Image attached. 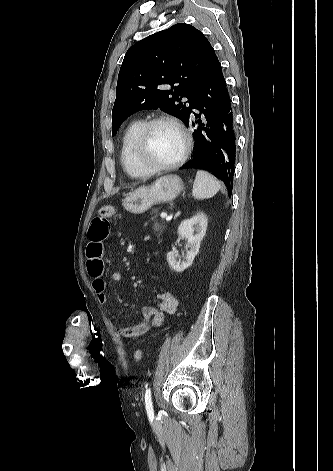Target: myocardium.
<instances>
[{"label": "myocardium", "instance_id": "1", "mask_svg": "<svg viewBox=\"0 0 333 471\" xmlns=\"http://www.w3.org/2000/svg\"><path fill=\"white\" fill-rule=\"evenodd\" d=\"M159 124H169L173 126L182 139V150L180 155L167 164L153 163L148 157L149 136L151 130ZM192 147V141L185 127L176 119L170 116H158L146 121L140 129L135 143V159L137 164L149 174L173 170L182 165L188 158Z\"/></svg>", "mask_w": 333, "mask_h": 471}]
</instances>
